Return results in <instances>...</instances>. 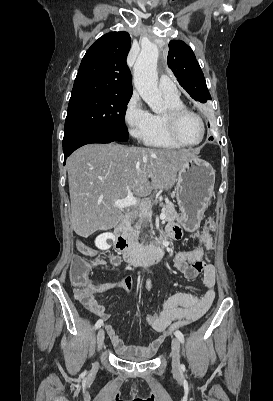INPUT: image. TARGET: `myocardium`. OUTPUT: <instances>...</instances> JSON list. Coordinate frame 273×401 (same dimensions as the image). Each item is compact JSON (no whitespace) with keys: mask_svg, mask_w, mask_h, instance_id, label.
I'll use <instances>...</instances> for the list:
<instances>
[{"mask_svg":"<svg viewBox=\"0 0 273 401\" xmlns=\"http://www.w3.org/2000/svg\"><path fill=\"white\" fill-rule=\"evenodd\" d=\"M185 114H190V115L196 116L201 123L202 131H203L202 138L197 142H194V143L185 142L178 135L177 124H178L179 119ZM162 116H163V120H164V123H165V126H166L169 136L176 143L180 144L181 146L195 147V146L202 144L205 141V139L207 137V125H206L204 117L200 113H198L194 110H191L185 106H177V107L169 106L166 108V110L162 114Z\"/></svg>","mask_w":273,"mask_h":401,"instance_id":"obj_1","label":"myocardium"}]
</instances>
